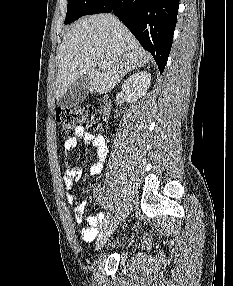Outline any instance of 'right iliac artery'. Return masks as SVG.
Masks as SVG:
<instances>
[{"mask_svg":"<svg viewBox=\"0 0 233 286\" xmlns=\"http://www.w3.org/2000/svg\"><path fill=\"white\" fill-rule=\"evenodd\" d=\"M112 218H113V213L110 212L104 221V225L107 226L112 221Z\"/></svg>","mask_w":233,"mask_h":286,"instance_id":"obj_1","label":"right iliac artery"}]
</instances>
